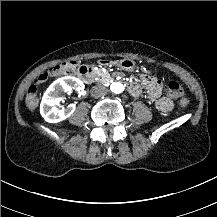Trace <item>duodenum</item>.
<instances>
[{
    "label": "duodenum",
    "instance_id": "410a0bca",
    "mask_svg": "<svg viewBox=\"0 0 217 217\" xmlns=\"http://www.w3.org/2000/svg\"><path fill=\"white\" fill-rule=\"evenodd\" d=\"M97 64L100 66L111 67V66L115 65V62L108 61V60H101V61H98ZM80 75H81V78L85 82H87V83L91 82L94 78V65L88 64V65L81 66ZM127 88L129 90V92L133 95L139 93V91H140V87L136 82L128 83Z\"/></svg>",
    "mask_w": 217,
    "mask_h": 217
}]
</instances>
